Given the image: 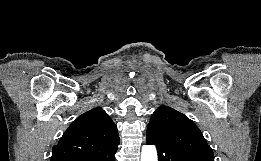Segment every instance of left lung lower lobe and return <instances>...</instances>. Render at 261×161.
I'll return each mask as SVG.
<instances>
[{
	"label": "left lung lower lobe",
	"instance_id": "0a47b994",
	"mask_svg": "<svg viewBox=\"0 0 261 161\" xmlns=\"http://www.w3.org/2000/svg\"><path fill=\"white\" fill-rule=\"evenodd\" d=\"M149 145H156L158 161H214L213 156L180 146L158 145L146 140Z\"/></svg>",
	"mask_w": 261,
	"mask_h": 161
}]
</instances>
